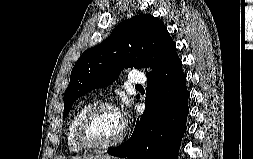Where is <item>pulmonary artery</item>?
Wrapping results in <instances>:
<instances>
[{
    "label": "pulmonary artery",
    "instance_id": "1",
    "mask_svg": "<svg viewBox=\"0 0 253 159\" xmlns=\"http://www.w3.org/2000/svg\"><path fill=\"white\" fill-rule=\"evenodd\" d=\"M129 82L132 85H143L146 83V76L143 71H133L129 76Z\"/></svg>",
    "mask_w": 253,
    "mask_h": 159
}]
</instances>
